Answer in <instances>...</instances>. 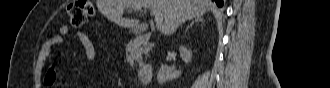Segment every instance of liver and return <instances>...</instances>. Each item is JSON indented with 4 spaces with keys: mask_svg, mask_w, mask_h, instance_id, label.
<instances>
[{
    "mask_svg": "<svg viewBox=\"0 0 330 88\" xmlns=\"http://www.w3.org/2000/svg\"><path fill=\"white\" fill-rule=\"evenodd\" d=\"M99 11L109 20L130 30H136L139 20L123 18L125 8L135 10L158 9L164 15L159 30L164 35L173 34L181 23L213 10L210 0H97Z\"/></svg>",
    "mask_w": 330,
    "mask_h": 88,
    "instance_id": "liver-1",
    "label": "liver"
}]
</instances>
